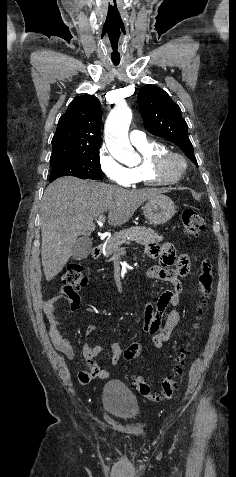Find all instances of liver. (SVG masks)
I'll return each instance as SVG.
<instances>
[{
    "label": "liver",
    "mask_w": 236,
    "mask_h": 477,
    "mask_svg": "<svg viewBox=\"0 0 236 477\" xmlns=\"http://www.w3.org/2000/svg\"><path fill=\"white\" fill-rule=\"evenodd\" d=\"M164 192L156 188L127 190L74 177L59 178L45 190L41 204V256L47 281L59 274L79 235L90 236L94 219L108 211V223L129 221L146 200Z\"/></svg>",
    "instance_id": "6515ba94"
}]
</instances>
